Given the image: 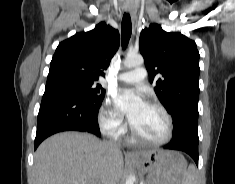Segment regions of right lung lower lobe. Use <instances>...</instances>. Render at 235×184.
Instances as JSON below:
<instances>
[{
	"mask_svg": "<svg viewBox=\"0 0 235 184\" xmlns=\"http://www.w3.org/2000/svg\"><path fill=\"white\" fill-rule=\"evenodd\" d=\"M100 106L61 85L45 88L37 120L35 150L44 139L58 132L81 131L100 137L97 121Z\"/></svg>",
	"mask_w": 235,
	"mask_h": 184,
	"instance_id": "right-lung-lower-lobe-1",
	"label": "right lung lower lobe"
}]
</instances>
